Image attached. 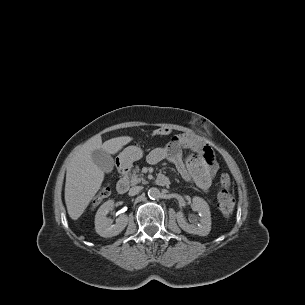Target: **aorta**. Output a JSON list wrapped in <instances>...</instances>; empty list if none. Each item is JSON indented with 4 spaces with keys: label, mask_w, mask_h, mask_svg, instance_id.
Masks as SVG:
<instances>
[{
    "label": "aorta",
    "mask_w": 305,
    "mask_h": 305,
    "mask_svg": "<svg viewBox=\"0 0 305 305\" xmlns=\"http://www.w3.org/2000/svg\"><path fill=\"white\" fill-rule=\"evenodd\" d=\"M161 196V192L158 188L152 187L148 190V197L152 200L158 199Z\"/></svg>",
    "instance_id": "1"
}]
</instances>
